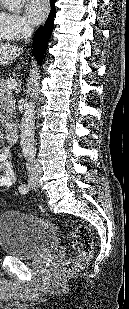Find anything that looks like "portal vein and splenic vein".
I'll return each instance as SVG.
<instances>
[{
  "instance_id": "1",
  "label": "portal vein and splenic vein",
  "mask_w": 129,
  "mask_h": 309,
  "mask_svg": "<svg viewBox=\"0 0 129 309\" xmlns=\"http://www.w3.org/2000/svg\"><path fill=\"white\" fill-rule=\"evenodd\" d=\"M7 89H15L17 86V81L15 79H9L5 82L4 85Z\"/></svg>"
}]
</instances>
